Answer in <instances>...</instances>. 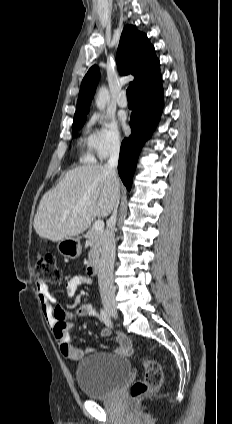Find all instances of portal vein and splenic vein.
Segmentation results:
<instances>
[{
  "label": "portal vein and splenic vein",
  "instance_id": "1",
  "mask_svg": "<svg viewBox=\"0 0 232 424\" xmlns=\"http://www.w3.org/2000/svg\"><path fill=\"white\" fill-rule=\"evenodd\" d=\"M93 227H94L96 230H103V228H104V221H103V220H97V221L94 223Z\"/></svg>",
  "mask_w": 232,
  "mask_h": 424
}]
</instances>
